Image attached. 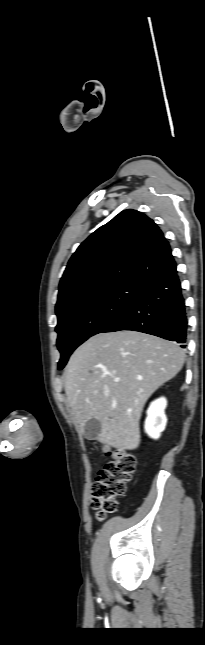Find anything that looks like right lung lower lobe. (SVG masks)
<instances>
[{"mask_svg": "<svg viewBox=\"0 0 205 645\" xmlns=\"http://www.w3.org/2000/svg\"><path fill=\"white\" fill-rule=\"evenodd\" d=\"M136 301L101 332L134 330L186 347L187 316L176 263L139 284Z\"/></svg>", "mask_w": 205, "mask_h": 645, "instance_id": "right-lung-lower-lobe-1", "label": "right lung lower lobe"}]
</instances>
